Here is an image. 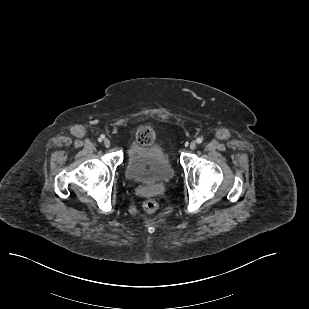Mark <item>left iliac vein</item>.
<instances>
[{
	"instance_id": "obj_1",
	"label": "left iliac vein",
	"mask_w": 309,
	"mask_h": 309,
	"mask_svg": "<svg viewBox=\"0 0 309 309\" xmlns=\"http://www.w3.org/2000/svg\"><path fill=\"white\" fill-rule=\"evenodd\" d=\"M190 149L194 150L196 148V142L192 141L189 145Z\"/></svg>"
}]
</instances>
